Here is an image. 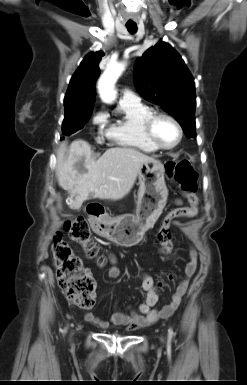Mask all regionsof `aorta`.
<instances>
[{
  "instance_id": "obj_1",
  "label": "aorta",
  "mask_w": 247,
  "mask_h": 385,
  "mask_svg": "<svg viewBox=\"0 0 247 385\" xmlns=\"http://www.w3.org/2000/svg\"><path fill=\"white\" fill-rule=\"evenodd\" d=\"M125 67L126 63L124 62H110L107 65L98 81V90L103 102L111 104L116 99L115 84Z\"/></svg>"
}]
</instances>
